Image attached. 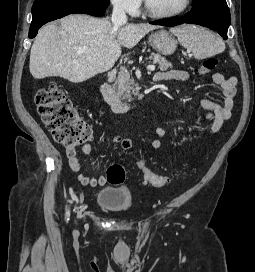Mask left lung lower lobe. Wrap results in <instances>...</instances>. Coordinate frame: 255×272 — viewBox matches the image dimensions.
I'll return each instance as SVG.
<instances>
[{
  "label": "left lung lower lobe",
  "instance_id": "obj_1",
  "mask_svg": "<svg viewBox=\"0 0 255 272\" xmlns=\"http://www.w3.org/2000/svg\"><path fill=\"white\" fill-rule=\"evenodd\" d=\"M230 22V12L225 0H201L183 17L159 20L152 24L170 27L182 23L198 24L218 31L226 40Z\"/></svg>",
  "mask_w": 255,
  "mask_h": 272
}]
</instances>
